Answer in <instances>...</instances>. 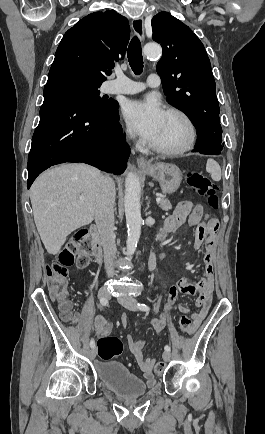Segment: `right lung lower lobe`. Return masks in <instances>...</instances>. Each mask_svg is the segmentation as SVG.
Wrapping results in <instances>:
<instances>
[{"mask_svg": "<svg viewBox=\"0 0 265 434\" xmlns=\"http://www.w3.org/2000/svg\"><path fill=\"white\" fill-rule=\"evenodd\" d=\"M118 121V107L96 113L70 89L45 86L28 156V189L41 172L64 162H84L122 174L130 149Z\"/></svg>", "mask_w": 265, "mask_h": 434, "instance_id": "98d812e1", "label": "right lung lower lobe"}]
</instances>
